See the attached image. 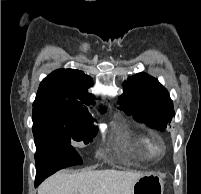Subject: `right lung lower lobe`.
<instances>
[{
    "instance_id": "1",
    "label": "right lung lower lobe",
    "mask_w": 201,
    "mask_h": 194,
    "mask_svg": "<svg viewBox=\"0 0 201 194\" xmlns=\"http://www.w3.org/2000/svg\"><path fill=\"white\" fill-rule=\"evenodd\" d=\"M77 154L75 149L65 148L50 141H43L36 144V179L37 187L45 178L58 171L66 165L72 155Z\"/></svg>"
}]
</instances>
